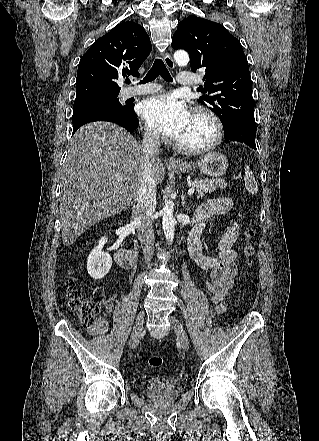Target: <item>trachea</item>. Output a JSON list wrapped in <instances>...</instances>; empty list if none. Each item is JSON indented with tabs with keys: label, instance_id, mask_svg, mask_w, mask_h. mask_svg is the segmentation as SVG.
I'll use <instances>...</instances> for the list:
<instances>
[{
	"label": "trachea",
	"instance_id": "1",
	"mask_svg": "<svg viewBox=\"0 0 319 441\" xmlns=\"http://www.w3.org/2000/svg\"><path fill=\"white\" fill-rule=\"evenodd\" d=\"M161 76L167 82H173V78L171 77L169 71L167 70L164 62L161 59H155L151 69L148 71L147 75L144 77L141 84L148 83L150 81L155 80L158 76ZM126 83H131L129 80Z\"/></svg>",
	"mask_w": 319,
	"mask_h": 441
}]
</instances>
